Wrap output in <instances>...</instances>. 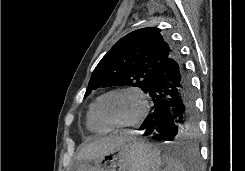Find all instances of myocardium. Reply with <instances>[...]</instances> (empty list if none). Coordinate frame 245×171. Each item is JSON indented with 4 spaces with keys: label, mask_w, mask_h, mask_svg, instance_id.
<instances>
[{
    "label": "myocardium",
    "mask_w": 245,
    "mask_h": 171,
    "mask_svg": "<svg viewBox=\"0 0 245 171\" xmlns=\"http://www.w3.org/2000/svg\"><path fill=\"white\" fill-rule=\"evenodd\" d=\"M115 93H132L138 98V100L140 102V109H139L138 113L135 115V117L133 119H131L130 121L123 122V123H112V122L108 121L103 116L102 111H101V106H102L103 100L107 96L115 94ZM148 110H149L148 98H147L146 94L144 93V91L142 89H140L139 87H136V86H122V87L113 88V89L105 92L104 94H102L98 98L97 103H96V115H97L98 119L105 126H107L109 128H113V129L128 128V127H133V126L138 125L139 123H141L144 120V118L146 117V115L148 113Z\"/></svg>",
    "instance_id": "1"
}]
</instances>
